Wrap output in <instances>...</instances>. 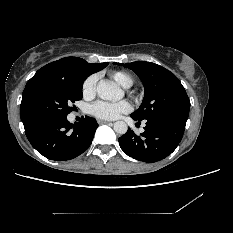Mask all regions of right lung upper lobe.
Here are the masks:
<instances>
[{
	"label": "right lung upper lobe",
	"instance_id": "cb5924a9",
	"mask_svg": "<svg viewBox=\"0 0 233 233\" xmlns=\"http://www.w3.org/2000/svg\"><path fill=\"white\" fill-rule=\"evenodd\" d=\"M107 66L106 63L90 64L82 58L66 57L60 60L51 62L41 69L27 82L22 94V101L20 107L21 120L24 128H28L35 123L29 118L25 102L31 88L40 80L48 78H64V79H79L87 78L92 73L102 70Z\"/></svg>",
	"mask_w": 233,
	"mask_h": 233
}]
</instances>
